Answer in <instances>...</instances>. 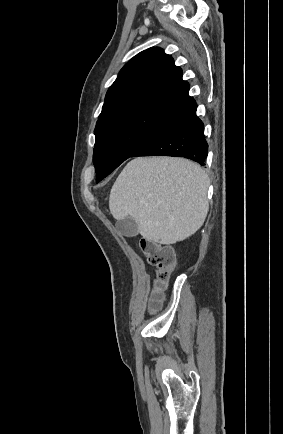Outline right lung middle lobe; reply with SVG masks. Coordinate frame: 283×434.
Here are the masks:
<instances>
[{"label": "right lung middle lobe", "instance_id": "dd1d6c3e", "mask_svg": "<svg viewBox=\"0 0 283 434\" xmlns=\"http://www.w3.org/2000/svg\"><path fill=\"white\" fill-rule=\"evenodd\" d=\"M171 121L152 114L131 113L97 124L93 154L96 182L108 176Z\"/></svg>", "mask_w": 283, "mask_h": 434}]
</instances>
